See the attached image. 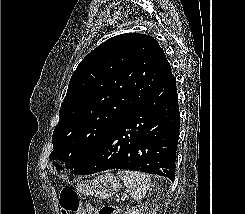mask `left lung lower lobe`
<instances>
[{"mask_svg":"<svg viewBox=\"0 0 245 214\" xmlns=\"http://www.w3.org/2000/svg\"><path fill=\"white\" fill-rule=\"evenodd\" d=\"M179 128L176 79L171 75L137 104L72 173L129 169L174 181Z\"/></svg>","mask_w":245,"mask_h":214,"instance_id":"1","label":"left lung lower lobe"}]
</instances>
